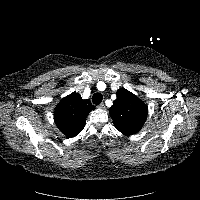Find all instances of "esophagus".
<instances>
[{
	"label": "esophagus",
	"mask_w": 200,
	"mask_h": 200,
	"mask_svg": "<svg viewBox=\"0 0 200 200\" xmlns=\"http://www.w3.org/2000/svg\"><path fill=\"white\" fill-rule=\"evenodd\" d=\"M99 109H104L105 108V104L104 103H101L97 106Z\"/></svg>",
	"instance_id": "1"
}]
</instances>
